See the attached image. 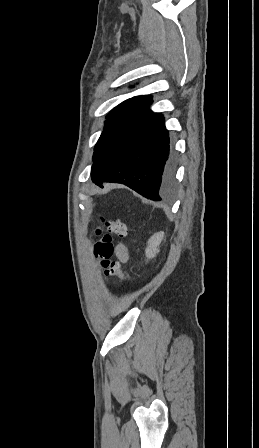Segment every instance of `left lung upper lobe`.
<instances>
[{
    "mask_svg": "<svg viewBox=\"0 0 259 448\" xmlns=\"http://www.w3.org/2000/svg\"><path fill=\"white\" fill-rule=\"evenodd\" d=\"M152 100L150 95L135 96L115 107L107 116L104 131L94 147L93 158L100 149L117 133L135 113L142 110Z\"/></svg>",
    "mask_w": 259,
    "mask_h": 448,
    "instance_id": "1",
    "label": "left lung upper lobe"
}]
</instances>
